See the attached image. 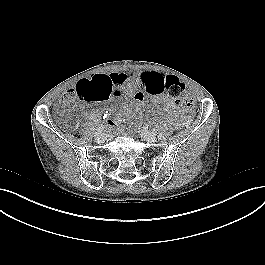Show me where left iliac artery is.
Segmentation results:
<instances>
[{"instance_id":"left-iliac-artery-1","label":"left iliac artery","mask_w":265,"mask_h":265,"mask_svg":"<svg viewBox=\"0 0 265 265\" xmlns=\"http://www.w3.org/2000/svg\"><path fill=\"white\" fill-rule=\"evenodd\" d=\"M158 138H159V139H161V138H162V135H161V134H159V135H158Z\"/></svg>"}]
</instances>
